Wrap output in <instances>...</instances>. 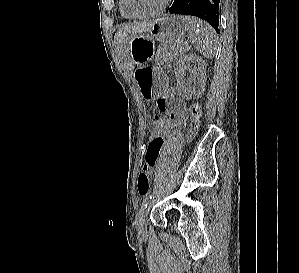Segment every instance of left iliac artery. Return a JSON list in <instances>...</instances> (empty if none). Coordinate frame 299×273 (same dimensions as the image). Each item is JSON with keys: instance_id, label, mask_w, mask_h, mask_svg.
Listing matches in <instances>:
<instances>
[{"instance_id": "obj_1", "label": "left iliac artery", "mask_w": 299, "mask_h": 273, "mask_svg": "<svg viewBox=\"0 0 299 273\" xmlns=\"http://www.w3.org/2000/svg\"><path fill=\"white\" fill-rule=\"evenodd\" d=\"M152 197H153L152 195H149L147 198H145L142 203L141 208H146L148 206L149 202L151 201Z\"/></svg>"}]
</instances>
